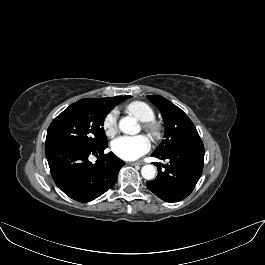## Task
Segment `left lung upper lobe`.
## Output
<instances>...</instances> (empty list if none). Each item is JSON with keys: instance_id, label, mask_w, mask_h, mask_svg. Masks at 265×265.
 I'll return each mask as SVG.
<instances>
[{"instance_id": "1", "label": "left lung upper lobe", "mask_w": 265, "mask_h": 265, "mask_svg": "<svg viewBox=\"0 0 265 265\" xmlns=\"http://www.w3.org/2000/svg\"><path fill=\"white\" fill-rule=\"evenodd\" d=\"M147 98L160 110L165 124V139L153 153L164 154L173 148L201 140L194 124L179 107L160 95H149Z\"/></svg>"}]
</instances>
